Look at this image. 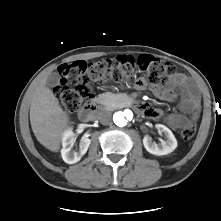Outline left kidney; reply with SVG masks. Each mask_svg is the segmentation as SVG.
<instances>
[{"label": "left kidney", "instance_id": "left-kidney-1", "mask_svg": "<svg viewBox=\"0 0 221 221\" xmlns=\"http://www.w3.org/2000/svg\"><path fill=\"white\" fill-rule=\"evenodd\" d=\"M155 127L158 129L159 132L164 133L165 141H161L160 144H156L152 141V138L150 136L146 135L143 138V145L145 149L149 153L157 156L167 155L173 152L177 147V140L172 131L162 124H157Z\"/></svg>", "mask_w": 221, "mask_h": 221}]
</instances>
